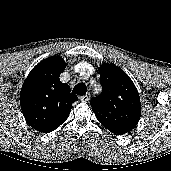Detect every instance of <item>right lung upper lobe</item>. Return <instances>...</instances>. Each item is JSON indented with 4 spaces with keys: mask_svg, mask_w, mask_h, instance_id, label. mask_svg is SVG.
<instances>
[{
    "mask_svg": "<svg viewBox=\"0 0 171 171\" xmlns=\"http://www.w3.org/2000/svg\"><path fill=\"white\" fill-rule=\"evenodd\" d=\"M66 65L53 56L41 61L30 72L20 92V105L27 123L36 131L49 133L68 118L78 98L59 79Z\"/></svg>",
    "mask_w": 171,
    "mask_h": 171,
    "instance_id": "right-lung-upper-lobe-1",
    "label": "right lung upper lobe"
}]
</instances>
